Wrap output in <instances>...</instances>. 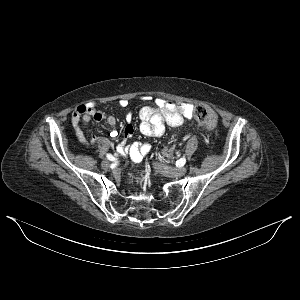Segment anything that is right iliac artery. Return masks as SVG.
Here are the masks:
<instances>
[{
	"mask_svg": "<svg viewBox=\"0 0 300 300\" xmlns=\"http://www.w3.org/2000/svg\"><path fill=\"white\" fill-rule=\"evenodd\" d=\"M106 157L110 161H116V158L113 155H111V154H107Z\"/></svg>",
	"mask_w": 300,
	"mask_h": 300,
	"instance_id": "obj_1",
	"label": "right iliac artery"
}]
</instances>
